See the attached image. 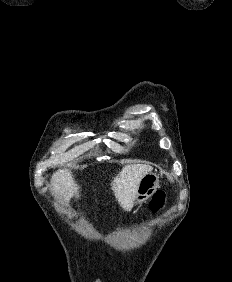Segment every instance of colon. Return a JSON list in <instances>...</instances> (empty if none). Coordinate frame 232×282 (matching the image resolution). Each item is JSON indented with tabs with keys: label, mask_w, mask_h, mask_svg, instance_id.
Here are the masks:
<instances>
[{
	"label": "colon",
	"mask_w": 232,
	"mask_h": 282,
	"mask_svg": "<svg viewBox=\"0 0 232 282\" xmlns=\"http://www.w3.org/2000/svg\"><path fill=\"white\" fill-rule=\"evenodd\" d=\"M166 203V193L157 191L150 202V209L153 213H157L163 209Z\"/></svg>",
	"instance_id": "1"
}]
</instances>
